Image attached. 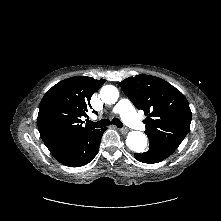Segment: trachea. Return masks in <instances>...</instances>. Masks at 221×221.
I'll list each match as a JSON object with an SVG mask.
<instances>
[{
    "label": "trachea",
    "instance_id": "3493384b",
    "mask_svg": "<svg viewBox=\"0 0 221 221\" xmlns=\"http://www.w3.org/2000/svg\"><path fill=\"white\" fill-rule=\"evenodd\" d=\"M112 123L116 125L118 128L123 127L122 122L118 118H113ZM87 124L95 128H103V127L108 126L110 124V121L108 119H102L98 122L87 120Z\"/></svg>",
    "mask_w": 221,
    "mask_h": 221
}]
</instances>
